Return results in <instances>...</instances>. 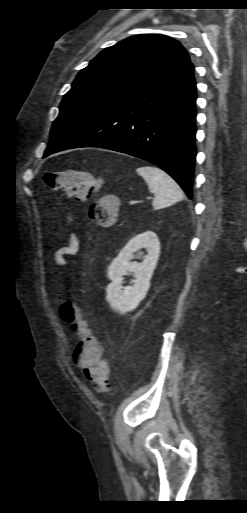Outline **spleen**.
<instances>
[{"label":"spleen","mask_w":247,"mask_h":513,"mask_svg":"<svg viewBox=\"0 0 247 513\" xmlns=\"http://www.w3.org/2000/svg\"><path fill=\"white\" fill-rule=\"evenodd\" d=\"M154 194L152 206L159 210L175 204L183 199V192L175 180L160 168L154 166H140L136 169Z\"/></svg>","instance_id":"3e777b00"}]
</instances>
